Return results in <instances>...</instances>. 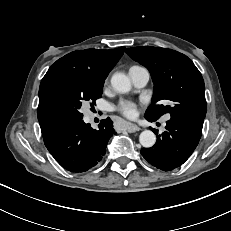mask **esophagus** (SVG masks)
I'll return each instance as SVG.
<instances>
[{
	"mask_svg": "<svg viewBox=\"0 0 231 231\" xmlns=\"http://www.w3.org/2000/svg\"><path fill=\"white\" fill-rule=\"evenodd\" d=\"M125 130L129 133H133V132L139 131L140 128L137 125L129 123L126 125Z\"/></svg>",
	"mask_w": 231,
	"mask_h": 231,
	"instance_id": "obj_1",
	"label": "esophagus"
}]
</instances>
